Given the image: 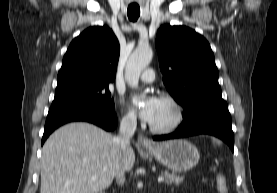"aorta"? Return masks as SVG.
Instances as JSON below:
<instances>
[{"label": "aorta", "mask_w": 277, "mask_h": 193, "mask_svg": "<svg viewBox=\"0 0 277 193\" xmlns=\"http://www.w3.org/2000/svg\"><path fill=\"white\" fill-rule=\"evenodd\" d=\"M153 57L150 47L137 48L129 57L125 68V80L132 88H137L142 71L149 65ZM141 100L133 99V104L138 105Z\"/></svg>", "instance_id": "762f6f07"}]
</instances>
